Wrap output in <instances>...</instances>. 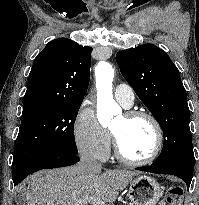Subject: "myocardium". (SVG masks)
Returning <instances> with one entry per match:
<instances>
[{
	"label": "myocardium",
	"instance_id": "myocardium-1",
	"mask_svg": "<svg viewBox=\"0 0 199 205\" xmlns=\"http://www.w3.org/2000/svg\"><path fill=\"white\" fill-rule=\"evenodd\" d=\"M124 116L128 119H133V118L147 119L151 123L154 129L155 143L151 153L147 157L141 159L129 158L122 152L118 139L115 133L112 131V140H113L114 153L116 158L121 162L132 166H142V165H147L149 163H152L159 156L164 143L163 128L160 122L152 113L145 110H128L124 113Z\"/></svg>",
	"mask_w": 199,
	"mask_h": 205
}]
</instances>
